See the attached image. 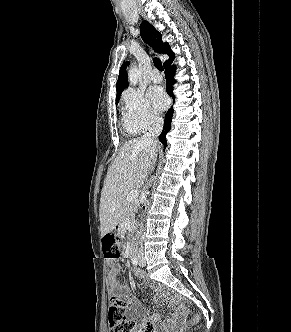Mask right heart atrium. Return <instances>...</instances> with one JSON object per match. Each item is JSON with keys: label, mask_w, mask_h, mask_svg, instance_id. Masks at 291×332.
Instances as JSON below:
<instances>
[{"label": "right heart atrium", "mask_w": 291, "mask_h": 332, "mask_svg": "<svg viewBox=\"0 0 291 332\" xmlns=\"http://www.w3.org/2000/svg\"><path fill=\"white\" fill-rule=\"evenodd\" d=\"M123 106L124 125L135 133L152 130L161 124V118L152 108L144 93L139 90L125 91Z\"/></svg>", "instance_id": "1"}]
</instances>
